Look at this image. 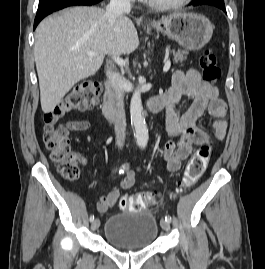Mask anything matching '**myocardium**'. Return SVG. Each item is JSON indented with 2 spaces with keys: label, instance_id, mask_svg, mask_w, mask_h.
<instances>
[{
  "label": "myocardium",
  "instance_id": "f54148a6",
  "mask_svg": "<svg viewBox=\"0 0 265 269\" xmlns=\"http://www.w3.org/2000/svg\"><path fill=\"white\" fill-rule=\"evenodd\" d=\"M147 5L156 9H177L186 6L192 0H176L161 2L156 0H143Z\"/></svg>",
  "mask_w": 265,
  "mask_h": 269
}]
</instances>
